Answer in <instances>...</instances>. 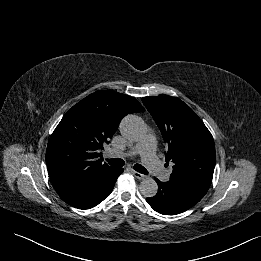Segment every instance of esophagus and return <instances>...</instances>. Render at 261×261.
<instances>
[{"label":"esophagus","mask_w":261,"mask_h":261,"mask_svg":"<svg viewBox=\"0 0 261 261\" xmlns=\"http://www.w3.org/2000/svg\"><path fill=\"white\" fill-rule=\"evenodd\" d=\"M133 175H134L136 178H138V179H144V178H146V175L141 174V173H139V172H137V171H133Z\"/></svg>","instance_id":"esophagus-1"}]
</instances>
